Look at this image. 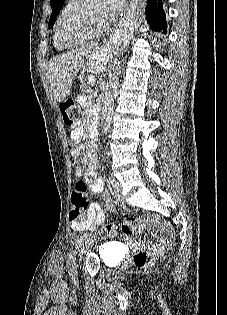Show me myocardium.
<instances>
[{
  "label": "myocardium",
  "mask_w": 227,
  "mask_h": 315,
  "mask_svg": "<svg viewBox=\"0 0 227 315\" xmlns=\"http://www.w3.org/2000/svg\"><path fill=\"white\" fill-rule=\"evenodd\" d=\"M90 0H77L75 4L66 12L61 21L58 23L56 28V33L61 44L67 47H73L80 45L86 41L95 39L99 37L107 28V25H104L101 29L93 33H84L81 37L72 39L66 36L64 29L65 27L74 20L84 7L88 4Z\"/></svg>",
  "instance_id": "f54148a6"
}]
</instances>
